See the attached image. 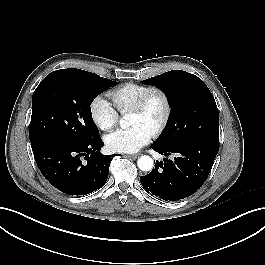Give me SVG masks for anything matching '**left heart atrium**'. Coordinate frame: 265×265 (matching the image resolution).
<instances>
[{
  "instance_id": "1",
  "label": "left heart atrium",
  "mask_w": 265,
  "mask_h": 265,
  "mask_svg": "<svg viewBox=\"0 0 265 265\" xmlns=\"http://www.w3.org/2000/svg\"><path fill=\"white\" fill-rule=\"evenodd\" d=\"M152 132L142 125L118 129L105 137L107 148L112 152L134 153L149 143Z\"/></svg>"
}]
</instances>
